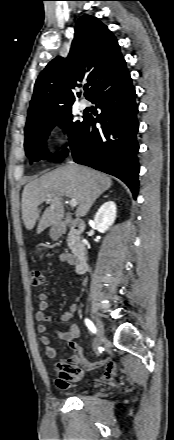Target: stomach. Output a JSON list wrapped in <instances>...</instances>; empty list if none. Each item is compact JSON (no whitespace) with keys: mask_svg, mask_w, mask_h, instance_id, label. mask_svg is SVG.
Here are the masks:
<instances>
[{"mask_svg":"<svg viewBox=\"0 0 174 440\" xmlns=\"http://www.w3.org/2000/svg\"><path fill=\"white\" fill-rule=\"evenodd\" d=\"M50 236L54 239L57 238V234H55L53 231L50 232Z\"/></svg>","mask_w":174,"mask_h":440,"instance_id":"0dacf381","label":"stomach"}]
</instances>
